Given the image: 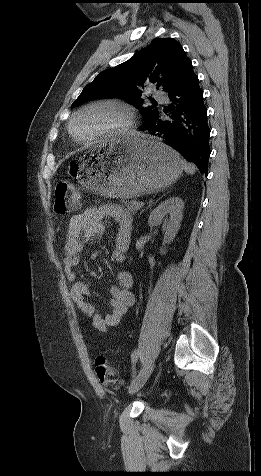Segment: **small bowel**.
Wrapping results in <instances>:
<instances>
[{"label": "small bowel", "mask_w": 261, "mask_h": 476, "mask_svg": "<svg viewBox=\"0 0 261 476\" xmlns=\"http://www.w3.org/2000/svg\"><path fill=\"white\" fill-rule=\"evenodd\" d=\"M106 219L113 220L118 226L111 258L116 262L124 261L131 240L132 219L128 212L112 204L88 208L72 216L62 261L64 272L70 282L71 299L83 315L90 319L92 326L100 332H108L118 327L135 300L131 292L133 278L127 270H119L116 274L117 284L110 287L111 311L108 314L98 312L93 303L86 300L89 295L88 287L76 277L75 267L79 263V255L84 249L85 241L104 234Z\"/></svg>", "instance_id": "obj_1"}]
</instances>
